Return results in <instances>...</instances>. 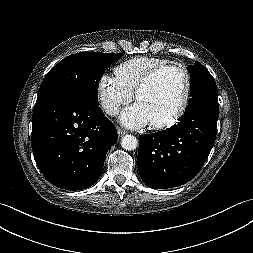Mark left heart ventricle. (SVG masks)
Segmentation results:
<instances>
[{
	"instance_id": "left-heart-ventricle-1",
	"label": "left heart ventricle",
	"mask_w": 253,
	"mask_h": 253,
	"mask_svg": "<svg viewBox=\"0 0 253 253\" xmlns=\"http://www.w3.org/2000/svg\"><path fill=\"white\" fill-rule=\"evenodd\" d=\"M184 90L180 72L169 70L160 74L138 97L137 103L143 107L150 122H158L172 117L179 109Z\"/></svg>"
}]
</instances>
